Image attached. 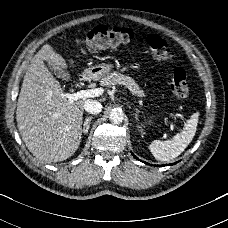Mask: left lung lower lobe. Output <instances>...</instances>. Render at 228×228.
<instances>
[{
	"label": "left lung lower lobe",
	"mask_w": 228,
	"mask_h": 228,
	"mask_svg": "<svg viewBox=\"0 0 228 228\" xmlns=\"http://www.w3.org/2000/svg\"><path fill=\"white\" fill-rule=\"evenodd\" d=\"M133 156H134V158H136L137 160H138V158L134 155V154H132ZM175 163H173V164H167V166H169V165H174ZM160 166H165V165H160Z\"/></svg>",
	"instance_id": "left-lung-lower-lobe-1"
}]
</instances>
